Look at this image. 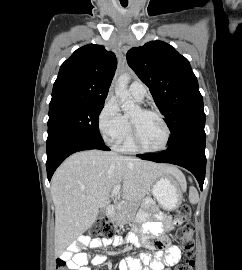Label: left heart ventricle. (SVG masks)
I'll use <instances>...</instances> for the list:
<instances>
[{
	"mask_svg": "<svg viewBox=\"0 0 242 270\" xmlns=\"http://www.w3.org/2000/svg\"><path fill=\"white\" fill-rule=\"evenodd\" d=\"M131 118L136 122L139 139L147 148L161 146L165 139V130L159 118L152 114H143L140 109L135 111Z\"/></svg>",
	"mask_w": 242,
	"mask_h": 270,
	"instance_id": "b2bd125f",
	"label": "left heart ventricle"
}]
</instances>
